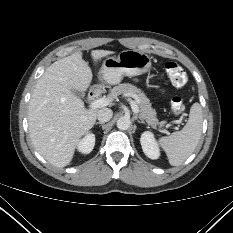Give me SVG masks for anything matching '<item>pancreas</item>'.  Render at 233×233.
<instances>
[{
	"instance_id": "obj_1",
	"label": "pancreas",
	"mask_w": 233,
	"mask_h": 233,
	"mask_svg": "<svg viewBox=\"0 0 233 233\" xmlns=\"http://www.w3.org/2000/svg\"><path fill=\"white\" fill-rule=\"evenodd\" d=\"M119 95L133 97L140 108L141 117L145 119L149 125L155 127L157 125L163 126L165 124L164 121H158L156 118V110L151 107L149 99L141 89L130 83L119 84L110 89L111 98H117Z\"/></svg>"
}]
</instances>
